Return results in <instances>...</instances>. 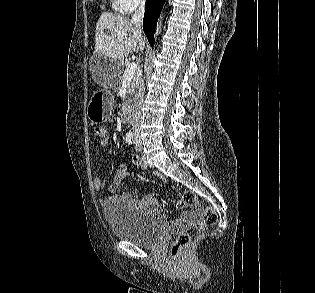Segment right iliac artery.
I'll return each mask as SVG.
<instances>
[{"mask_svg":"<svg viewBox=\"0 0 315 293\" xmlns=\"http://www.w3.org/2000/svg\"><path fill=\"white\" fill-rule=\"evenodd\" d=\"M125 141L126 143L128 144H132L133 141H134V136L132 133H127L126 136H125Z\"/></svg>","mask_w":315,"mask_h":293,"instance_id":"82829eb1","label":"right iliac artery"}]
</instances>
